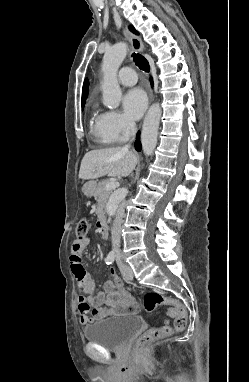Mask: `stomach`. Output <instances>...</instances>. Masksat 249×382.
<instances>
[{
    "label": "stomach",
    "mask_w": 249,
    "mask_h": 382,
    "mask_svg": "<svg viewBox=\"0 0 249 382\" xmlns=\"http://www.w3.org/2000/svg\"><path fill=\"white\" fill-rule=\"evenodd\" d=\"M95 189L96 183L94 181H90L83 186L82 191L86 197H91L94 195Z\"/></svg>",
    "instance_id": "0dacf381"
}]
</instances>
